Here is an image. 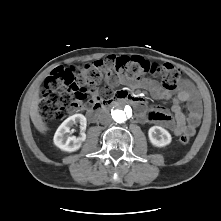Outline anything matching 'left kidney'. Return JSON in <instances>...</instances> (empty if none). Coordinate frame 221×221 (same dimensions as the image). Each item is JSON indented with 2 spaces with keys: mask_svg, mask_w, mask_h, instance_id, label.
Here are the masks:
<instances>
[{
  "mask_svg": "<svg viewBox=\"0 0 221 221\" xmlns=\"http://www.w3.org/2000/svg\"><path fill=\"white\" fill-rule=\"evenodd\" d=\"M148 136L150 142L156 147H164L171 142L170 133L160 127V126H152L148 131Z\"/></svg>",
  "mask_w": 221,
  "mask_h": 221,
  "instance_id": "5707ae66",
  "label": "left kidney"
}]
</instances>
